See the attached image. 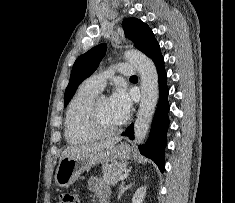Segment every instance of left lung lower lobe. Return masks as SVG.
Listing matches in <instances>:
<instances>
[{
    "instance_id": "obj_1",
    "label": "left lung lower lobe",
    "mask_w": 235,
    "mask_h": 203,
    "mask_svg": "<svg viewBox=\"0 0 235 203\" xmlns=\"http://www.w3.org/2000/svg\"><path fill=\"white\" fill-rule=\"evenodd\" d=\"M155 63L158 77H159V103L153 117L152 127L149 139L146 145L139 146V149L143 155L152 159L161 172L164 171V149L167 144L166 134L169 127V103L167 100L168 88L166 85V72L164 69V59L160 51V46L156 42L146 54ZM122 136H127L129 139H134V128L131 124Z\"/></svg>"
}]
</instances>
